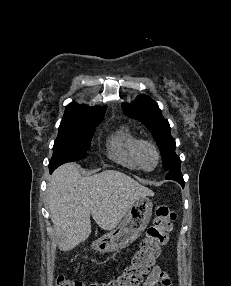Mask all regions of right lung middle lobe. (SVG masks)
<instances>
[{"label":"right lung middle lobe","instance_id":"obj_1","mask_svg":"<svg viewBox=\"0 0 231 286\" xmlns=\"http://www.w3.org/2000/svg\"><path fill=\"white\" fill-rule=\"evenodd\" d=\"M102 118L103 115H64L58 129V136L53 147V157L49 166L57 168L63 163L85 158L95 127L102 121Z\"/></svg>","mask_w":231,"mask_h":286}]
</instances>
